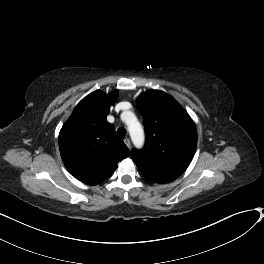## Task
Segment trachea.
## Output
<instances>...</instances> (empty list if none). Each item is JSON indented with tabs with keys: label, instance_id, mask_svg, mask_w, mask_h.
Returning a JSON list of instances; mask_svg holds the SVG:
<instances>
[{
	"label": "trachea",
	"instance_id": "trachea-1",
	"mask_svg": "<svg viewBox=\"0 0 264 264\" xmlns=\"http://www.w3.org/2000/svg\"><path fill=\"white\" fill-rule=\"evenodd\" d=\"M117 135L120 139H123L126 136V130L124 128H119L117 130Z\"/></svg>",
	"mask_w": 264,
	"mask_h": 264
}]
</instances>
